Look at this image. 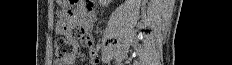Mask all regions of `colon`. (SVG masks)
Masks as SVG:
<instances>
[{"label": "colon", "mask_w": 232, "mask_h": 65, "mask_svg": "<svg viewBox=\"0 0 232 65\" xmlns=\"http://www.w3.org/2000/svg\"><path fill=\"white\" fill-rule=\"evenodd\" d=\"M71 12V11H68ZM75 50V42L71 37H59L56 41V55L58 59L65 58Z\"/></svg>", "instance_id": "5ec220e1"}]
</instances>
